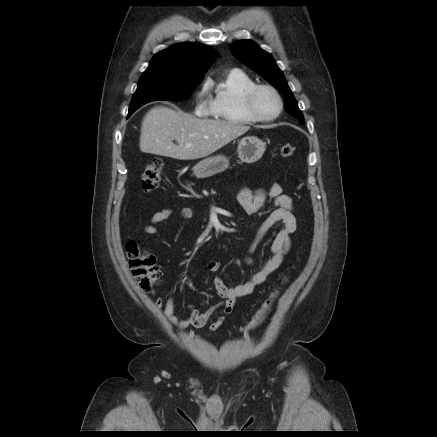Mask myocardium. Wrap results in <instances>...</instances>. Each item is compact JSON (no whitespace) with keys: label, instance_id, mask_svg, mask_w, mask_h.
<instances>
[{"label":"myocardium","instance_id":"obj_1","mask_svg":"<svg viewBox=\"0 0 437 437\" xmlns=\"http://www.w3.org/2000/svg\"><path fill=\"white\" fill-rule=\"evenodd\" d=\"M261 90H268V91L272 92L273 95L275 96L277 102H278V110L272 116H269V117L262 116L256 110L255 99H256L257 94ZM245 108H246V111L249 114V116L252 119H254L255 121L270 122V121H273L276 118H278L280 116V114L282 113V111H283V100H282V97H281L280 93L278 92V90L275 87H273L272 85H269V84H256L255 86L250 88L247 91L246 95H245Z\"/></svg>","mask_w":437,"mask_h":437}]
</instances>
